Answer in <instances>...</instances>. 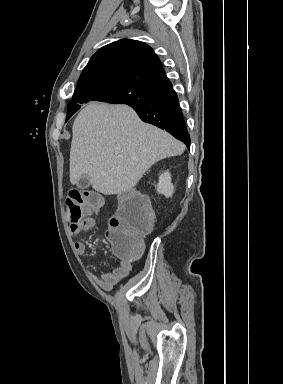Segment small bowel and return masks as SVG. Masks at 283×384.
I'll list each match as a JSON object with an SVG mask.
<instances>
[{"label":"small bowel","instance_id":"obj_1","mask_svg":"<svg viewBox=\"0 0 283 384\" xmlns=\"http://www.w3.org/2000/svg\"><path fill=\"white\" fill-rule=\"evenodd\" d=\"M95 225V220L92 217H87L78 226L71 225V234L76 236L82 232L91 230ZM75 250L78 254L86 253V245L82 241L75 243ZM131 271V263L129 261H121L117 267L111 272H102L100 278L92 275L93 279L104 290L112 289L118 282L124 279Z\"/></svg>","mask_w":283,"mask_h":384}]
</instances>
